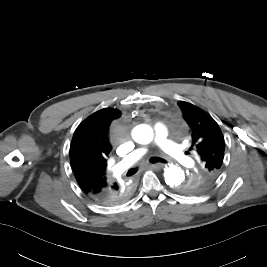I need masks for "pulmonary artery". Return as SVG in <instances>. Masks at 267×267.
Instances as JSON below:
<instances>
[{
	"mask_svg": "<svg viewBox=\"0 0 267 267\" xmlns=\"http://www.w3.org/2000/svg\"><path fill=\"white\" fill-rule=\"evenodd\" d=\"M167 136H168V130L166 126L163 124H157L155 126V138L157 145L166 154H168L175 160L181 163H186L187 157L184 155L182 148L173 141L168 140ZM147 151L148 150L145 147L133 150L123 160H121L119 163L116 164L115 171L123 172L124 170L129 168L132 164L141 159L147 153Z\"/></svg>",
	"mask_w": 267,
	"mask_h": 267,
	"instance_id": "e3ab8cb5",
	"label": "pulmonary artery"
}]
</instances>
